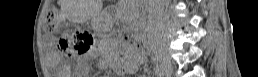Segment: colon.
Listing matches in <instances>:
<instances>
[{"label":"colon","instance_id":"colon-1","mask_svg":"<svg viewBox=\"0 0 258 77\" xmlns=\"http://www.w3.org/2000/svg\"><path fill=\"white\" fill-rule=\"evenodd\" d=\"M56 27L55 13L50 10L47 13L45 20V30L47 32H53ZM94 38L92 34L88 31H76L72 33L67 39H61L60 46L62 50H70L76 53H83L89 50L93 45ZM131 49L134 53L141 52L145 50V45L143 42L135 40L131 45Z\"/></svg>","mask_w":258,"mask_h":77}]
</instances>
